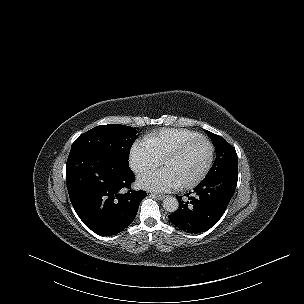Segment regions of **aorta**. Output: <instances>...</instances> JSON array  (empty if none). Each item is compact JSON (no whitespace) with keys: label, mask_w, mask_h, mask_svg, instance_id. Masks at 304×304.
<instances>
[{"label":"aorta","mask_w":304,"mask_h":304,"mask_svg":"<svg viewBox=\"0 0 304 304\" xmlns=\"http://www.w3.org/2000/svg\"><path fill=\"white\" fill-rule=\"evenodd\" d=\"M163 208L170 213H174L179 208V202L177 198L168 196L163 200Z\"/></svg>","instance_id":"762f6f07"}]
</instances>
